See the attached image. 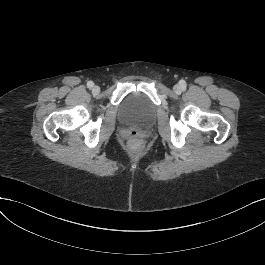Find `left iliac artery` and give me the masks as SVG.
Returning <instances> with one entry per match:
<instances>
[{"label":"left iliac artery","mask_w":265,"mask_h":265,"mask_svg":"<svg viewBox=\"0 0 265 265\" xmlns=\"http://www.w3.org/2000/svg\"><path fill=\"white\" fill-rule=\"evenodd\" d=\"M180 83H181V86H182V88H185V86H186V83H185V81H184V80H182Z\"/></svg>","instance_id":"1"}]
</instances>
